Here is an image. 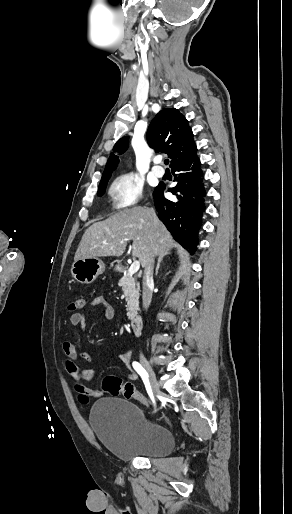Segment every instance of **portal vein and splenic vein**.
<instances>
[{"instance_id":"18ae733b","label":"portal vein and splenic vein","mask_w":292,"mask_h":514,"mask_svg":"<svg viewBox=\"0 0 292 514\" xmlns=\"http://www.w3.org/2000/svg\"><path fill=\"white\" fill-rule=\"evenodd\" d=\"M122 244H123V240H122ZM140 268V262H133V264H131L128 272H129V276H133V274H136V272H138Z\"/></svg>"}]
</instances>
